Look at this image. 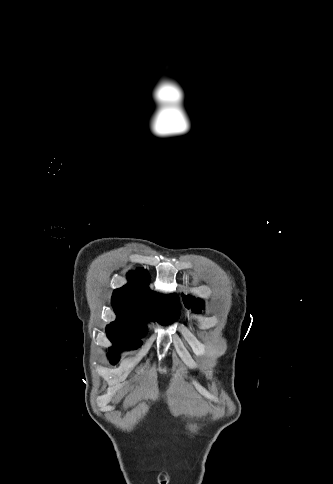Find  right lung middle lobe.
<instances>
[{"mask_svg":"<svg viewBox=\"0 0 333 484\" xmlns=\"http://www.w3.org/2000/svg\"><path fill=\"white\" fill-rule=\"evenodd\" d=\"M142 330L134 325L111 323L106 328L108 338L113 343L109 349V359L112 363L119 360V350L135 349L141 345V341L134 336H142Z\"/></svg>","mask_w":333,"mask_h":484,"instance_id":"dd1d6c3e","label":"right lung middle lobe"}]
</instances>
